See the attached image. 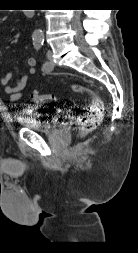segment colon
Masks as SVG:
<instances>
[{
  "instance_id": "obj_1",
  "label": "colon",
  "mask_w": 138,
  "mask_h": 253,
  "mask_svg": "<svg viewBox=\"0 0 138 253\" xmlns=\"http://www.w3.org/2000/svg\"><path fill=\"white\" fill-rule=\"evenodd\" d=\"M73 89L77 93H86L90 97L88 106L79 115V132L85 135L93 131L100 123L104 114V105L102 100L91 90L81 84H74ZM31 99L36 104H49L55 101V96L51 93L33 92Z\"/></svg>"
}]
</instances>
